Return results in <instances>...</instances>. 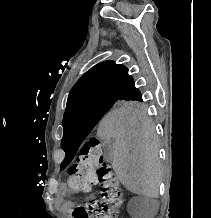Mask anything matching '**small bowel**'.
Segmentation results:
<instances>
[{
	"label": "small bowel",
	"mask_w": 211,
	"mask_h": 218,
	"mask_svg": "<svg viewBox=\"0 0 211 218\" xmlns=\"http://www.w3.org/2000/svg\"><path fill=\"white\" fill-rule=\"evenodd\" d=\"M68 195V190L65 186L62 187L60 193L56 196L55 202L64 210H70L72 208V203L66 200Z\"/></svg>",
	"instance_id": "1"
}]
</instances>
